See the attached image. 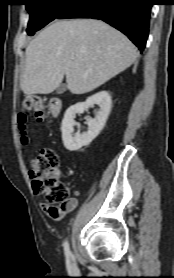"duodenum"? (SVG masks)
Returning <instances> with one entry per match:
<instances>
[{"instance_id":"duodenum-1","label":"duodenum","mask_w":174,"mask_h":278,"mask_svg":"<svg viewBox=\"0 0 174 278\" xmlns=\"http://www.w3.org/2000/svg\"><path fill=\"white\" fill-rule=\"evenodd\" d=\"M62 103L58 98H54L50 101V112L53 116H57L61 111Z\"/></svg>"}]
</instances>
